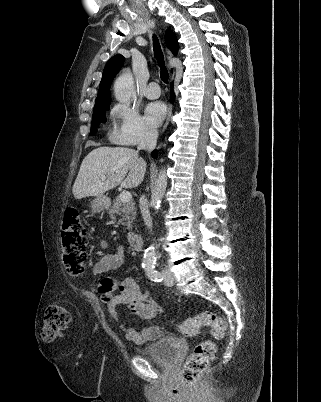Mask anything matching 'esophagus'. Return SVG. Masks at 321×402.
<instances>
[{
	"mask_svg": "<svg viewBox=\"0 0 321 402\" xmlns=\"http://www.w3.org/2000/svg\"><path fill=\"white\" fill-rule=\"evenodd\" d=\"M165 55L168 61H170L173 57L172 52L166 47L165 48ZM169 75H170V81L173 80L174 75H175V70L174 67L172 65L169 64ZM171 115H172V106L170 105L168 107V114H167V119L164 125V129L167 127V125L169 124V121L171 119Z\"/></svg>",
	"mask_w": 321,
	"mask_h": 402,
	"instance_id": "34e87169",
	"label": "esophagus"
}]
</instances>
